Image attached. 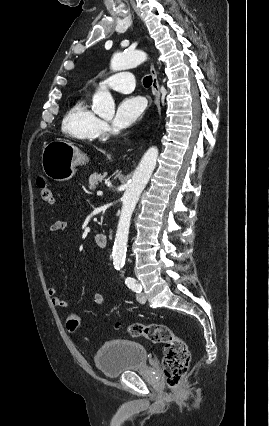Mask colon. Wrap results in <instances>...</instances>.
<instances>
[{
  "mask_svg": "<svg viewBox=\"0 0 269 426\" xmlns=\"http://www.w3.org/2000/svg\"><path fill=\"white\" fill-rule=\"evenodd\" d=\"M41 198L48 203L54 201L53 190L49 182L42 176L37 178ZM68 328L74 332L79 326V319L71 317L68 319ZM117 329L121 325L116 326ZM132 337H145L153 343L164 344L163 372L169 389L176 390L184 376L188 372L190 363V352L182 338L175 335L171 328L165 324H142L133 323L125 328Z\"/></svg>",
  "mask_w": 269,
  "mask_h": 426,
  "instance_id": "1",
  "label": "colon"
}]
</instances>
